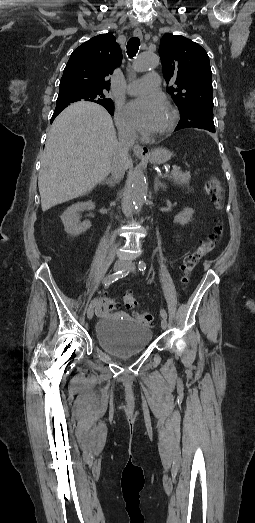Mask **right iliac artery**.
I'll return each instance as SVG.
<instances>
[{
  "mask_svg": "<svg viewBox=\"0 0 255 523\" xmlns=\"http://www.w3.org/2000/svg\"><path fill=\"white\" fill-rule=\"evenodd\" d=\"M128 274V271L126 270H123V271H118L116 273H113L111 275H109L108 277L105 278L104 280V287H108L111 283L115 282L116 280H118L119 278H123L125 277L126 275ZM97 301L98 299L97 298H94L91 303H90V306H95L97 304Z\"/></svg>",
  "mask_w": 255,
  "mask_h": 523,
  "instance_id": "82829eb1",
  "label": "right iliac artery"
}]
</instances>
